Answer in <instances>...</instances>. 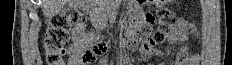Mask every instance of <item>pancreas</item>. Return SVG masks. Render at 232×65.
<instances>
[{"mask_svg": "<svg viewBox=\"0 0 232 65\" xmlns=\"http://www.w3.org/2000/svg\"><path fill=\"white\" fill-rule=\"evenodd\" d=\"M109 10H110V8L107 7V8H105V10H102V12L106 13V12H109ZM104 18L106 20V15L105 14H104ZM96 25H97L98 28H102L104 24L99 23V24H96Z\"/></svg>", "mask_w": 232, "mask_h": 65, "instance_id": "pancreas-1", "label": "pancreas"}]
</instances>
